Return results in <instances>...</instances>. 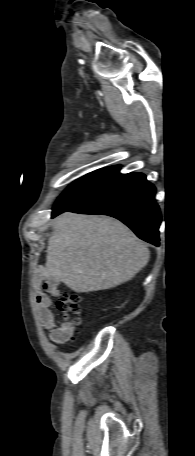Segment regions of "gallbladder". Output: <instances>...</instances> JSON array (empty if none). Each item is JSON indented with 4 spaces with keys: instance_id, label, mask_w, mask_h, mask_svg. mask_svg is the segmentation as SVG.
I'll list each match as a JSON object with an SVG mask.
<instances>
[{
    "instance_id": "1",
    "label": "gallbladder",
    "mask_w": 195,
    "mask_h": 456,
    "mask_svg": "<svg viewBox=\"0 0 195 456\" xmlns=\"http://www.w3.org/2000/svg\"><path fill=\"white\" fill-rule=\"evenodd\" d=\"M48 283L51 285V286H56L57 283L55 281H53L51 278L48 279Z\"/></svg>"
}]
</instances>
